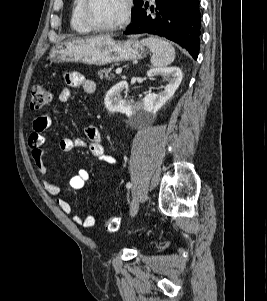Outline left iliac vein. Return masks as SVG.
I'll use <instances>...</instances> for the list:
<instances>
[{
    "label": "left iliac vein",
    "mask_w": 267,
    "mask_h": 301,
    "mask_svg": "<svg viewBox=\"0 0 267 301\" xmlns=\"http://www.w3.org/2000/svg\"><path fill=\"white\" fill-rule=\"evenodd\" d=\"M139 209V198L134 196L130 204V215L134 217Z\"/></svg>",
    "instance_id": "obj_1"
}]
</instances>
